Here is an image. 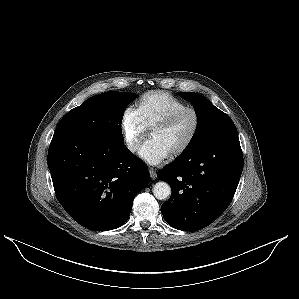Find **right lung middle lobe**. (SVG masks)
<instances>
[{
    "label": "right lung middle lobe",
    "instance_id": "obj_1",
    "mask_svg": "<svg viewBox=\"0 0 299 299\" xmlns=\"http://www.w3.org/2000/svg\"><path fill=\"white\" fill-rule=\"evenodd\" d=\"M137 95L108 91L86 100L69 111L58 123L56 132H68L91 138L124 143L121 122L126 107Z\"/></svg>",
    "mask_w": 299,
    "mask_h": 299
}]
</instances>
